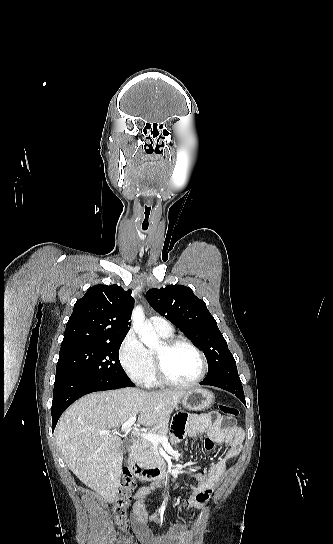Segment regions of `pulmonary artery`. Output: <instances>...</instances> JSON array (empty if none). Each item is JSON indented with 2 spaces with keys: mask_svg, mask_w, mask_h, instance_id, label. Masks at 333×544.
I'll return each instance as SVG.
<instances>
[{
  "mask_svg": "<svg viewBox=\"0 0 333 544\" xmlns=\"http://www.w3.org/2000/svg\"><path fill=\"white\" fill-rule=\"evenodd\" d=\"M148 322L154 330L160 334L170 335L173 332L170 323L162 317L152 316L148 319Z\"/></svg>",
  "mask_w": 333,
  "mask_h": 544,
  "instance_id": "1",
  "label": "pulmonary artery"
}]
</instances>
